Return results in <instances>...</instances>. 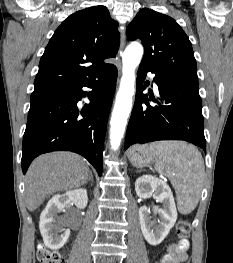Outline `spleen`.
Instances as JSON below:
<instances>
[{"label":"spleen","mask_w":233,"mask_h":263,"mask_svg":"<svg viewBox=\"0 0 233 263\" xmlns=\"http://www.w3.org/2000/svg\"><path fill=\"white\" fill-rule=\"evenodd\" d=\"M150 150L157 158L155 170L167 176L175 189L178 210L191 213L199 202L205 176L201 153L183 141L155 142Z\"/></svg>","instance_id":"3e777b00"}]
</instances>
